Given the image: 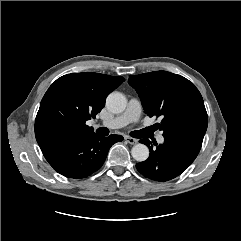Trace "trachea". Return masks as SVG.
<instances>
[{
	"instance_id": "1",
	"label": "trachea",
	"mask_w": 241,
	"mask_h": 241,
	"mask_svg": "<svg viewBox=\"0 0 241 241\" xmlns=\"http://www.w3.org/2000/svg\"><path fill=\"white\" fill-rule=\"evenodd\" d=\"M97 133L100 134V135H104V136H107L109 134V130L106 128V127H101L99 129H97ZM137 134V135H143L145 133V130H140V131H135L132 133V135L134 134Z\"/></svg>"
}]
</instances>
